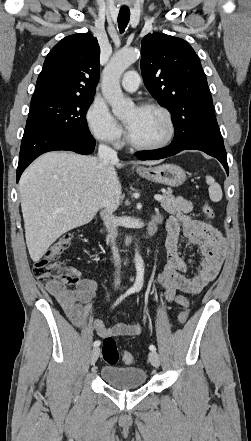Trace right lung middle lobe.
<instances>
[{
	"mask_svg": "<svg viewBox=\"0 0 251 441\" xmlns=\"http://www.w3.org/2000/svg\"><path fill=\"white\" fill-rule=\"evenodd\" d=\"M94 97H50L31 101L27 123L36 122L78 136H89L86 113Z\"/></svg>",
	"mask_w": 251,
	"mask_h": 441,
	"instance_id": "right-lung-middle-lobe-1",
	"label": "right lung middle lobe"
}]
</instances>
